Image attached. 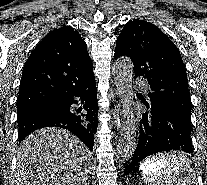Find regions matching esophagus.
Segmentation results:
<instances>
[{"instance_id":"esophagus-1","label":"esophagus","mask_w":207,"mask_h":185,"mask_svg":"<svg viewBox=\"0 0 207 185\" xmlns=\"http://www.w3.org/2000/svg\"><path fill=\"white\" fill-rule=\"evenodd\" d=\"M108 111H111V114L114 115L115 118V127L123 128L124 127V119L123 115L120 114L118 110V106H108ZM113 136H120V131H113Z\"/></svg>"}]
</instances>
